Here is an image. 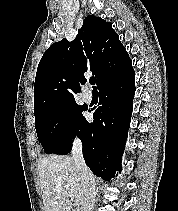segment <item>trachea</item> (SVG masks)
Here are the masks:
<instances>
[{
	"mask_svg": "<svg viewBox=\"0 0 178 211\" xmlns=\"http://www.w3.org/2000/svg\"><path fill=\"white\" fill-rule=\"evenodd\" d=\"M89 82H90L91 85H94V83H95L94 77H91L90 80H89Z\"/></svg>",
	"mask_w": 178,
	"mask_h": 211,
	"instance_id": "obj_1",
	"label": "trachea"
}]
</instances>
